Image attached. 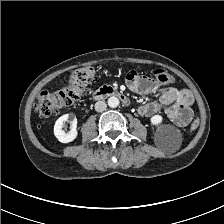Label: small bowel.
<instances>
[{
  "label": "small bowel",
  "instance_id": "obj_1",
  "mask_svg": "<svg viewBox=\"0 0 224 224\" xmlns=\"http://www.w3.org/2000/svg\"><path fill=\"white\" fill-rule=\"evenodd\" d=\"M126 82L131 91L142 95L153 94L158 89L153 80L135 71L129 72ZM193 100V94L188 89L164 87L159 89L157 100L142 105L139 108V113L142 116L150 117L164 109L165 114L172 123L178 127H184L191 120L190 105Z\"/></svg>",
  "mask_w": 224,
  "mask_h": 224
}]
</instances>
